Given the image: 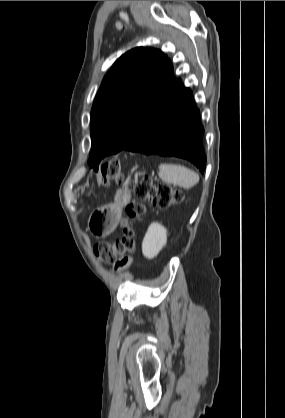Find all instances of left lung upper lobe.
Listing matches in <instances>:
<instances>
[{"label": "left lung upper lobe", "mask_w": 285, "mask_h": 418, "mask_svg": "<svg viewBox=\"0 0 285 418\" xmlns=\"http://www.w3.org/2000/svg\"><path fill=\"white\" fill-rule=\"evenodd\" d=\"M175 81L173 66L160 50L137 47L117 59L91 110L89 166L97 169L100 154L123 150Z\"/></svg>", "instance_id": "5c2ea615"}]
</instances>
